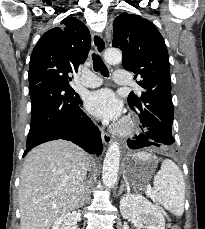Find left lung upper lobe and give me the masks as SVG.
<instances>
[{
	"label": "left lung upper lobe",
	"instance_id": "obj_1",
	"mask_svg": "<svg viewBox=\"0 0 205 229\" xmlns=\"http://www.w3.org/2000/svg\"><path fill=\"white\" fill-rule=\"evenodd\" d=\"M112 46L122 50L123 68L134 72V79L142 87V91L129 94L130 108L143 127H167L172 137L174 111L169 57L162 35L147 19L121 13L113 23ZM173 143L174 138L166 146Z\"/></svg>",
	"mask_w": 205,
	"mask_h": 229
}]
</instances>
